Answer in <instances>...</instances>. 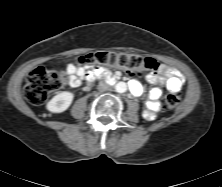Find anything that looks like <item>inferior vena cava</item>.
Returning a JSON list of instances; mask_svg holds the SVG:
<instances>
[{"label":"inferior vena cava","instance_id":"inferior-vena-cava-1","mask_svg":"<svg viewBox=\"0 0 222 187\" xmlns=\"http://www.w3.org/2000/svg\"><path fill=\"white\" fill-rule=\"evenodd\" d=\"M107 88H108V84L104 80L100 81L99 90H104V89H107Z\"/></svg>","mask_w":222,"mask_h":187}]
</instances>
